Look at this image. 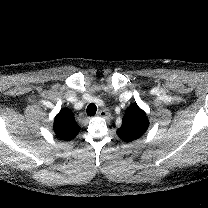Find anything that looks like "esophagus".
<instances>
[{
    "instance_id": "34e87169",
    "label": "esophagus",
    "mask_w": 208,
    "mask_h": 208,
    "mask_svg": "<svg viewBox=\"0 0 208 208\" xmlns=\"http://www.w3.org/2000/svg\"><path fill=\"white\" fill-rule=\"evenodd\" d=\"M98 117L107 118L110 116V113L106 109H102L97 114Z\"/></svg>"
}]
</instances>
